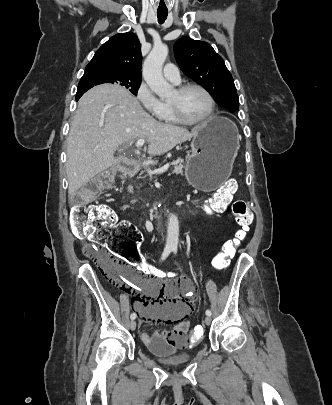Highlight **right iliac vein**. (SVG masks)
<instances>
[{"label": "right iliac vein", "instance_id": "1", "mask_svg": "<svg viewBox=\"0 0 332 405\" xmlns=\"http://www.w3.org/2000/svg\"><path fill=\"white\" fill-rule=\"evenodd\" d=\"M129 328L134 331L136 329V322L134 320L130 321Z\"/></svg>", "mask_w": 332, "mask_h": 405}]
</instances>
